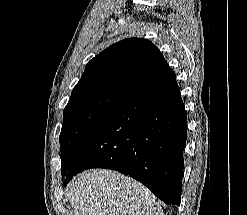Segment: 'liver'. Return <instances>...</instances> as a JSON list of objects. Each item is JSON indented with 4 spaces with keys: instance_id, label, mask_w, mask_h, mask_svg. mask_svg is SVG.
Listing matches in <instances>:
<instances>
[{
    "instance_id": "obj_1",
    "label": "liver",
    "mask_w": 247,
    "mask_h": 215,
    "mask_svg": "<svg viewBox=\"0 0 247 215\" xmlns=\"http://www.w3.org/2000/svg\"><path fill=\"white\" fill-rule=\"evenodd\" d=\"M66 194L75 215H164L145 186L110 170L83 172L71 180Z\"/></svg>"
}]
</instances>
